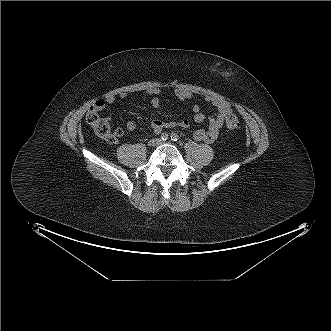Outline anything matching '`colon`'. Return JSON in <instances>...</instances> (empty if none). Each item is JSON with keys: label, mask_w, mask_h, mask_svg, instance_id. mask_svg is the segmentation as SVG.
I'll return each mask as SVG.
<instances>
[{"label": "colon", "mask_w": 331, "mask_h": 331, "mask_svg": "<svg viewBox=\"0 0 331 331\" xmlns=\"http://www.w3.org/2000/svg\"><path fill=\"white\" fill-rule=\"evenodd\" d=\"M86 120L96 135L109 143H114L121 135L119 130H112L110 124L101 118L96 111L90 110L86 116ZM226 127L228 130L235 132L241 128V122L236 115L231 114L227 117Z\"/></svg>", "instance_id": "obj_1"}]
</instances>
